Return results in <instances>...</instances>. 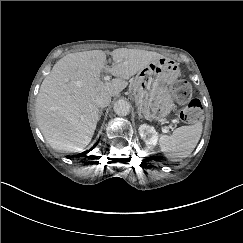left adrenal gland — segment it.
I'll return each instance as SVG.
<instances>
[{
	"label": "left adrenal gland",
	"mask_w": 243,
	"mask_h": 243,
	"mask_svg": "<svg viewBox=\"0 0 243 243\" xmlns=\"http://www.w3.org/2000/svg\"><path fill=\"white\" fill-rule=\"evenodd\" d=\"M137 113H138L139 119H142L143 118V115L141 113V110L138 109Z\"/></svg>",
	"instance_id": "a2214340"
}]
</instances>
